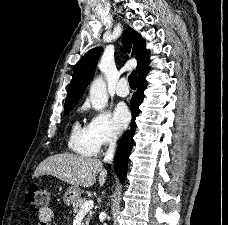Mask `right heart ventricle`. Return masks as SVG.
I'll use <instances>...</instances> for the list:
<instances>
[{"mask_svg":"<svg viewBox=\"0 0 228 225\" xmlns=\"http://www.w3.org/2000/svg\"><path fill=\"white\" fill-rule=\"evenodd\" d=\"M67 144L70 150L83 156H95L99 152L87 130L81 128L77 121L71 125Z\"/></svg>","mask_w":228,"mask_h":225,"instance_id":"1","label":"right heart ventricle"}]
</instances>
